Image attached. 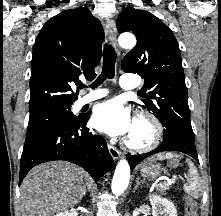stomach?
I'll return each instance as SVG.
<instances>
[{
	"label": "stomach",
	"mask_w": 221,
	"mask_h": 216,
	"mask_svg": "<svg viewBox=\"0 0 221 216\" xmlns=\"http://www.w3.org/2000/svg\"><path fill=\"white\" fill-rule=\"evenodd\" d=\"M160 164L149 162L141 166L140 172L144 179L154 180L161 174Z\"/></svg>",
	"instance_id": "obj_1"
}]
</instances>
